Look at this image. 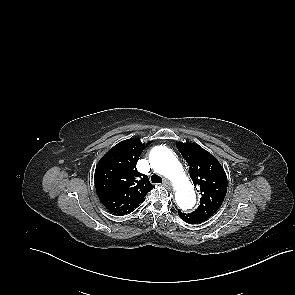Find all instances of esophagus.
Instances as JSON below:
<instances>
[{
  "instance_id": "esophagus-1",
  "label": "esophagus",
  "mask_w": 295,
  "mask_h": 295,
  "mask_svg": "<svg viewBox=\"0 0 295 295\" xmlns=\"http://www.w3.org/2000/svg\"><path fill=\"white\" fill-rule=\"evenodd\" d=\"M163 185H164L165 187H167V188H171V184H170V182H169L168 180H164V181H163Z\"/></svg>"
}]
</instances>
